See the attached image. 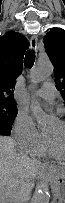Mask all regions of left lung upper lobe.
I'll list each match as a JSON object with an SVG mask.
<instances>
[{"instance_id":"left-lung-upper-lobe-1","label":"left lung upper lobe","mask_w":65,"mask_h":203,"mask_svg":"<svg viewBox=\"0 0 65 203\" xmlns=\"http://www.w3.org/2000/svg\"><path fill=\"white\" fill-rule=\"evenodd\" d=\"M45 50L53 63L56 87L65 100V30H50L44 38Z\"/></svg>"}]
</instances>
